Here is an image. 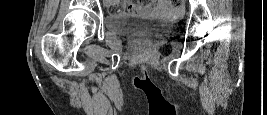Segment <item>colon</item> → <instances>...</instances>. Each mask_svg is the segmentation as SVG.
Returning a JSON list of instances; mask_svg holds the SVG:
<instances>
[{
  "label": "colon",
  "instance_id": "colon-1",
  "mask_svg": "<svg viewBox=\"0 0 267 115\" xmlns=\"http://www.w3.org/2000/svg\"><path fill=\"white\" fill-rule=\"evenodd\" d=\"M174 6H181L183 4V0H171L170 1ZM126 12V7L120 3H113L108 7L109 14H122Z\"/></svg>",
  "mask_w": 267,
  "mask_h": 115
}]
</instances>
